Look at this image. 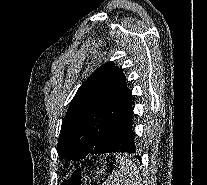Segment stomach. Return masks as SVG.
I'll use <instances>...</instances> for the list:
<instances>
[{"label":"stomach","instance_id":"stomach-1","mask_svg":"<svg viewBox=\"0 0 207 185\" xmlns=\"http://www.w3.org/2000/svg\"><path fill=\"white\" fill-rule=\"evenodd\" d=\"M86 179L84 171L77 169L64 179L62 185H84Z\"/></svg>","mask_w":207,"mask_h":185}]
</instances>
